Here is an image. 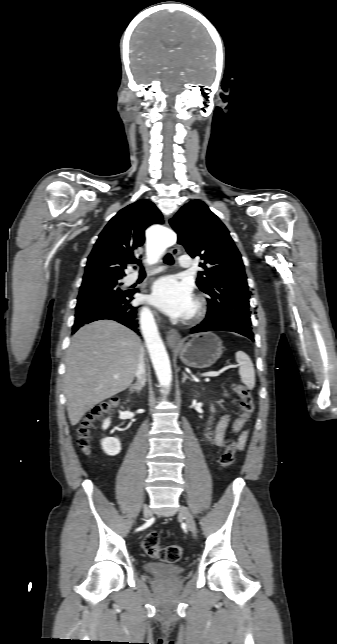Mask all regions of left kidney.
Returning a JSON list of instances; mask_svg holds the SVG:
<instances>
[{"label": "left kidney", "mask_w": 337, "mask_h": 644, "mask_svg": "<svg viewBox=\"0 0 337 644\" xmlns=\"http://www.w3.org/2000/svg\"><path fill=\"white\" fill-rule=\"evenodd\" d=\"M211 411H212V412L214 411V408H213V407H211Z\"/></svg>", "instance_id": "5707ae66"}]
</instances>
